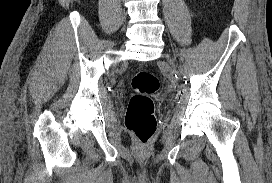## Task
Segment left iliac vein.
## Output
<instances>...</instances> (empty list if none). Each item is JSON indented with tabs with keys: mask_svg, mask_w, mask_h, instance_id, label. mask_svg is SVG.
Here are the masks:
<instances>
[{
	"mask_svg": "<svg viewBox=\"0 0 272 183\" xmlns=\"http://www.w3.org/2000/svg\"><path fill=\"white\" fill-rule=\"evenodd\" d=\"M165 57H166L168 63L170 64V66H171V67L169 68V71H170V74L173 76L174 73H175L174 62H173V60L171 59V57L169 56V54H166Z\"/></svg>",
	"mask_w": 272,
	"mask_h": 183,
	"instance_id": "obj_1",
	"label": "left iliac vein"
}]
</instances>
